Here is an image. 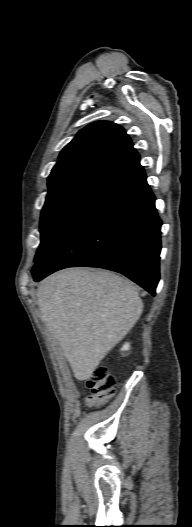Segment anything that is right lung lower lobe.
<instances>
[{"label":"right lung lower lobe","mask_w":192,"mask_h":527,"mask_svg":"<svg viewBox=\"0 0 192 527\" xmlns=\"http://www.w3.org/2000/svg\"><path fill=\"white\" fill-rule=\"evenodd\" d=\"M162 222L140 158L107 181L32 269L36 282L76 266L127 276L152 295L160 278Z\"/></svg>","instance_id":"1"}]
</instances>
